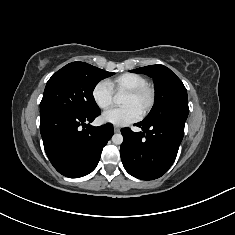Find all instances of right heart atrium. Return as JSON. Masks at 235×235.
Here are the masks:
<instances>
[{
	"label": "right heart atrium",
	"instance_id": "right-heart-atrium-1",
	"mask_svg": "<svg viewBox=\"0 0 235 235\" xmlns=\"http://www.w3.org/2000/svg\"><path fill=\"white\" fill-rule=\"evenodd\" d=\"M94 103L100 109H108L114 100V91L106 80L97 82L91 92Z\"/></svg>",
	"mask_w": 235,
	"mask_h": 235
}]
</instances>
